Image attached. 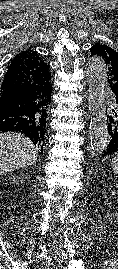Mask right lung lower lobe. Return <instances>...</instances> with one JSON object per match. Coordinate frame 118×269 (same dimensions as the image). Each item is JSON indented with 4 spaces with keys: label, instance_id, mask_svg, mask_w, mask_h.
I'll return each mask as SVG.
<instances>
[{
    "label": "right lung lower lobe",
    "instance_id": "98d812e1",
    "mask_svg": "<svg viewBox=\"0 0 118 269\" xmlns=\"http://www.w3.org/2000/svg\"><path fill=\"white\" fill-rule=\"evenodd\" d=\"M36 100L34 91L5 90L0 94V132L16 131L25 134L34 144L42 147L45 132L36 124Z\"/></svg>",
    "mask_w": 118,
    "mask_h": 269
}]
</instances>
